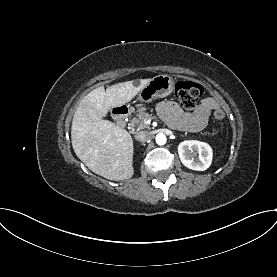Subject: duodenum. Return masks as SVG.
<instances>
[{
    "mask_svg": "<svg viewBox=\"0 0 277 277\" xmlns=\"http://www.w3.org/2000/svg\"><path fill=\"white\" fill-rule=\"evenodd\" d=\"M113 117L119 127H124L129 115V110L125 106L116 107L112 111Z\"/></svg>",
    "mask_w": 277,
    "mask_h": 277,
    "instance_id": "obj_1",
    "label": "duodenum"
}]
</instances>
